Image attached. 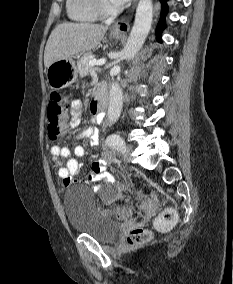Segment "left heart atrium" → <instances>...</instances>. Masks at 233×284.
<instances>
[{"label":"left heart atrium","mask_w":233,"mask_h":284,"mask_svg":"<svg viewBox=\"0 0 233 284\" xmlns=\"http://www.w3.org/2000/svg\"><path fill=\"white\" fill-rule=\"evenodd\" d=\"M127 1H129V0H112V2H113L116 6H121V5L125 4Z\"/></svg>","instance_id":"1"}]
</instances>
